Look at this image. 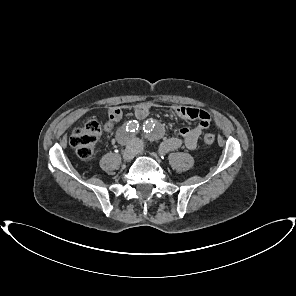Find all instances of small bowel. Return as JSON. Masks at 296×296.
Wrapping results in <instances>:
<instances>
[{
  "mask_svg": "<svg viewBox=\"0 0 296 296\" xmlns=\"http://www.w3.org/2000/svg\"><path fill=\"white\" fill-rule=\"evenodd\" d=\"M151 108L152 104L149 102L138 103L134 106V115L138 119H144L149 114ZM172 110L179 118L186 120L198 119L199 123L193 128H180L179 136L164 140L160 146V151L162 153H168L183 146L190 150H194L197 147L198 140L202 133L209 128L211 124L210 114L205 110L181 105L172 106ZM107 115L108 121L104 128L106 131H110L114 125L122 119L123 113L119 107H110L107 111Z\"/></svg>",
  "mask_w": 296,
  "mask_h": 296,
  "instance_id": "1",
  "label": "small bowel"
}]
</instances>
